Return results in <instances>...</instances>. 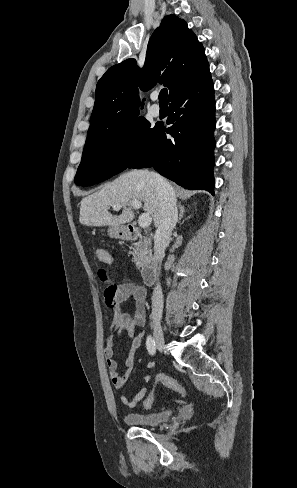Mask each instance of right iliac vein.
Wrapping results in <instances>:
<instances>
[{
	"mask_svg": "<svg viewBox=\"0 0 297 488\" xmlns=\"http://www.w3.org/2000/svg\"><path fill=\"white\" fill-rule=\"evenodd\" d=\"M153 336L157 348L163 351L165 349L164 335H163L161 324L157 320L153 322Z\"/></svg>",
	"mask_w": 297,
	"mask_h": 488,
	"instance_id": "1",
	"label": "right iliac vein"
}]
</instances>
